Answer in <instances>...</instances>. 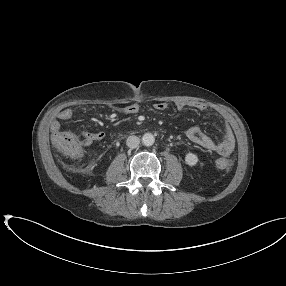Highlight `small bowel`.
<instances>
[{"instance_id":"obj_1","label":"small bowel","mask_w":286,"mask_h":286,"mask_svg":"<svg viewBox=\"0 0 286 286\" xmlns=\"http://www.w3.org/2000/svg\"><path fill=\"white\" fill-rule=\"evenodd\" d=\"M190 107L197 111H206L207 106L199 101H177L175 103V109L177 111H183L185 108ZM168 108V104L165 102H158L154 104V109L157 111H165ZM140 110V106L137 102H133L124 108V112L127 114H136ZM74 111L71 108H64L58 113V119L61 121H69L73 118ZM52 137L61 130V123L59 121H53L51 124ZM86 138V144L91 145L94 142L102 141L105 138L103 131H87L82 133ZM187 139L195 145L214 151L222 156L230 155L235 148V138L232 128L228 121L223 122V137L221 141L217 142L211 137L204 134L200 128L192 127L186 131Z\"/></svg>"}]
</instances>
